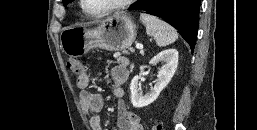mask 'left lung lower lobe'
I'll return each instance as SVG.
<instances>
[{
	"mask_svg": "<svg viewBox=\"0 0 257 130\" xmlns=\"http://www.w3.org/2000/svg\"><path fill=\"white\" fill-rule=\"evenodd\" d=\"M201 0H141L130 10L145 11L170 23L194 49Z\"/></svg>",
	"mask_w": 257,
	"mask_h": 130,
	"instance_id": "1",
	"label": "left lung lower lobe"
}]
</instances>
